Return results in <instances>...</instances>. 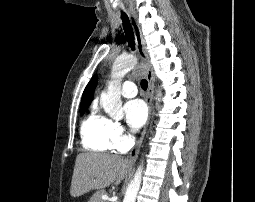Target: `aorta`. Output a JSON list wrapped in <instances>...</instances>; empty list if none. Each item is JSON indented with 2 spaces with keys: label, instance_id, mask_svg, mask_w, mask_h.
I'll return each mask as SVG.
<instances>
[{
  "label": "aorta",
  "instance_id": "obj_1",
  "mask_svg": "<svg viewBox=\"0 0 255 202\" xmlns=\"http://www.w3.org/2000/svg\"><path fill=\"white\" fill-rule=\"evenodd\" d=\"M137 65V58L133 55L119 56L112 67V81L107 90L101 94L100 101L104 111L112 118H121L122 102H121V78ZM161 97V91L157 93V100ZM143 172V162L137 168L136 173L129 183L123 202H135L138 191L140 189Z\"/></svg>",
  "mask_w": 255,
  "mask_h": 202
}]
</instances>
